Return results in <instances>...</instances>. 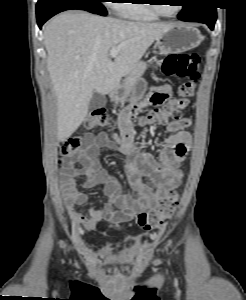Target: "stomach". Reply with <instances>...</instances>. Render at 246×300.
Segmentation results:
<instances>
[{"instance_id":"stomach-1","label":"stomach","mask_w":246,"mask_h":300,"mask_svg":"<svg viewBox=\"0 0 246 300\" xmlns=\"http://www.w3.org/2000/svg\"><path fill=\"white\" fill-rule=\"evenodd\" d=\"M204 37L200 31L190 24H176L167 29L156 40V47L161 55L179 54L184 51L198 47ZM147 83L144 79L138 78L134 86L125 92L122 87L110 93L111 101L114 103H123L128 98L131 102L139 101L145 91Z\"/></svg>"}]
</instances>
